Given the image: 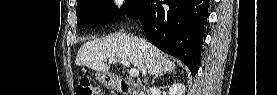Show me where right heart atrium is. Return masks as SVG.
Listing matches in <instances>:
<instances>
[{
  "label": "right heart atrium",
  "instance_id": "d8ad5b80",
  "mask_svg": "<svg viewBox=\"0 0 277 95\" xmlns=\"http://www.w3.org/2000/svg\"><path fill=\"white\" fill-rule=\"evenodd\" d=\"M131 6V2L128 0H117L115 1L112 10L116 13H125Z\"/></svg>",
  "mask_w": 277,
  "mask_h": 95
}]
</instances>
